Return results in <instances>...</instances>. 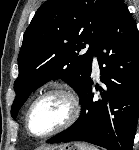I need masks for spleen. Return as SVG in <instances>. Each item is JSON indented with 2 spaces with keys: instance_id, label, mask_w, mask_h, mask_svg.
<instances>
[{
  "instance_id": "3e777b00",
  "label": "spleen",
  "mask_w": 139,
  "mask_h": 150,
  "mask_svg": "<svg viewBox=\"0 0 139 150\" xmlns=\"http://www.w3.org/2000/svg\"><path fill=\"white\" fill-rule=\"evenodd\" d=\"M89 150H98V149L94 146H91V147H89Z\"/></svg>"
}]
</instances>
